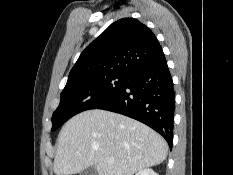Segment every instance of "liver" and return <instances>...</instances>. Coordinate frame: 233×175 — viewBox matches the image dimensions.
Returning a JSON list of instances; mask_svg holds the SVG:
<instances>
[{
	"label": "liver",
	"mask_w": 233,
	"mask_h": 175,
	"mask_svg": "<svg viewBox=\"0 0 233 175\" xmlns=\"http://www.w3.org/2000/svg\"><path fill=\"white\" fill-rule=\"evenodd\" d=\"M166 141L150 127L127 116L105 111H84L66 122L59 133L53 171L77 174L95 166L98 175H133L161 164ZM113 158V163L108 159Z\"/></svg>",
	"instance_id": "liver-1"
}]
</instances>
